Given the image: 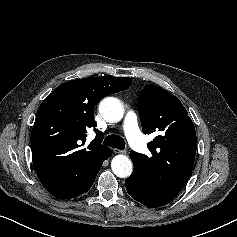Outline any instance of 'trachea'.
Instances as JSON below:
<instances>
[{"instance_id":"1","label":"trachea","mask_w":237,"mask_h":237,"mask_svg":"<svg viewBox=\"0 0 237 237\" xmlns=\"http://www.w3.org/2000/svg\"><path fill=\"white\" fill-rule=\"evenodd\" d=\"M105 145L112 147V148H117L120 150H124L125 148V141L123 138L117 135H109L104 139L103 142Z\"/></svg>"}]
</instances>
